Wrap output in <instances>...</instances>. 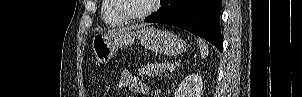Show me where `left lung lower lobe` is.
<instances>
[{
  "label": "left lung lower lobe",
  "instance_id": "left-lung-lower-lobe-1",
  "mask_svg": "<svg viewBox=\"0 0 302 97\" xmlns=\"http://www.w3.org/2000/svg\"><path fill=\"white\" fill-rule=\"evenodd\" d=\"M222 0H164L146 22L174 25L200 36L223 51L220 29Z\"/></svg>",
  "mask_w": 302,
  "mask_h": 97
}]
</instances>
